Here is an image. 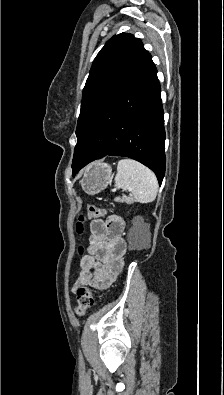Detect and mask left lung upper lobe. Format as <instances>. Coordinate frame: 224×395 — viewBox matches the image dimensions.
I'll use <instances>...</instances> for the list:
<instances>
[{"instance_id":"5c2ea615","label":"left lung upper lobe","mask_w":224,"mask_h":395,"mask_svg":"<svg viewBox=\"0 0 224 395\" xmlns=\"http://www.w3.org/2000/svg\"><path fill=\"white\" fill-rule=\"evenodd\" d=\"M150 58L142 42L126 33L112 37L98 53L83 90L72 169L83 158L102 111Z\"/></svg>"}]
</instances>
